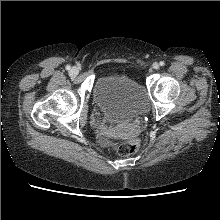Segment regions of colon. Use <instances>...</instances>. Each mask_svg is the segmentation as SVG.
Wrapping results in <instances>:
<instances>
[{
	"label": "colon",
	"instance_id": "5ec220e1",
	"mask_svg": "<svg viewBox=\"0 0 220 220\" xmlns=\"http://www.w3.org/2000/svg\"><path fill=\"white\" fill-rule=\"evenodd\" d=\"M138 143L135 139L127 140L121 143L117 149L118 154L121 156H130L137 151Z\"/></svg>",
	"mask_w": 220,
	"mask_h": 220
}]
</instances>
